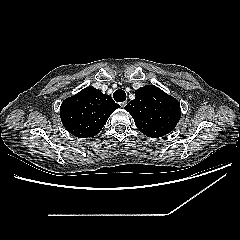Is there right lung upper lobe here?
Masks as SVG:
<instances>
[{"mask_svg": "<svg viewBox=\"0 0 240 240\" xmlns=\"http://www.w3.org/2000/svg\"><path fill=\"white\" fill-rule=\"evenodd\" d=\"M120 105L94 87H87L63 101L60 117L68 132L79 138L97 135Z\"/></svg>", "mask_w": 240, "mask_h": 240, "instance_id": "obj_1", "label": "right lung upper lobe"}]
</instances>
